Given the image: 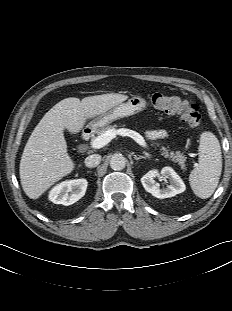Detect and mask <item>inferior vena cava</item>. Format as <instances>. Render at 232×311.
Listing matches in <instances>:
<instances>
[{
    "label": "inferior vena cava",
    "mask_w": 232,
    "mask_h": 311,
    "mask_svg": "<svg viewBox=\"0 0 232 311\" xmlns=\"http://www.w3.org/2000/svg\"><path fill=\"white\" fill-rule=\"evenodd\" d=\"M101 162V156L99 154L89 155L85 159V165L89 168L98 166Z\"/></svg>",
    "instance_id": "1"
}]
</instances>
